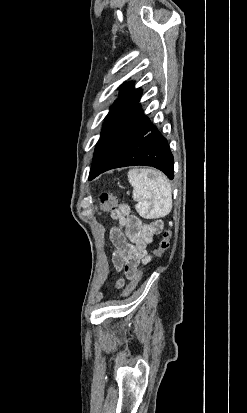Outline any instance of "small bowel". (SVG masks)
<instances>
[{"instance_id":"obj_1","label":"small bowel","mask_w":247,"mask_h":413,"mask_svg":"<svg viewBox=\"0 0 247 413\" xmlns=\"http://www.w3.org/2000/svg\"><path fill=\"white\" fill-rule=\"evenodd\" d=\"M110 216L118 226L110 230V240L115 248L112 262L117 269H124V277L131 279L140 265L149 261L147 247L163 230L162 220L144 223L131 213L126 204L119 205L111 211ZM116 287H125V282H116Z\"/></svg>"}]
</instances>
